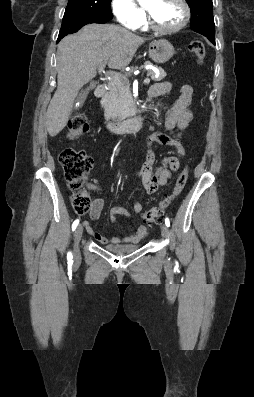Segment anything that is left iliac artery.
<instances>
[{"label": "left iliac artery", "mask_w": 254, "mask_h": 397, "mask_svg": "<svg viewBox=\"0 0 254 397\" xmlns=\"http://www.w3.org/2000/svg\"><path fill=\"white\" fill-rule=\"evenodd\" d=\"M165 224L169 227L170 226V220L169 218H165Z\"/></svg>", "instance_id": "obj_1"}]
</instances>
